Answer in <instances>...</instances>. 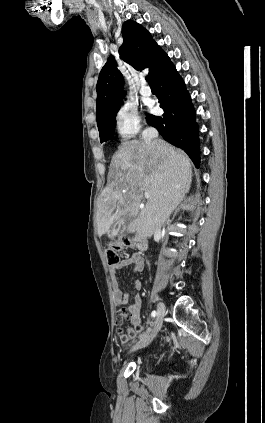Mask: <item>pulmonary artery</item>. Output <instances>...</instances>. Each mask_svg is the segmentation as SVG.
<instances>
[{
    "label": "pulmonary artery",
    "instance_id": "e3ab8cb5",
    "mask_svg": "<svg viewBox=\"0 0 265 423\" xmlns=\"http://www.w3.org/2000/svg\"><path fill=\"white\" fill-rule=\"evenodd\" d=\"M140 93L143 96H150L151 95V89L146 85L145 81H142V85L140 88Z\"/></svg>",
    "mask_w": 265,
    "mask_h": 423
}]
</instances>
